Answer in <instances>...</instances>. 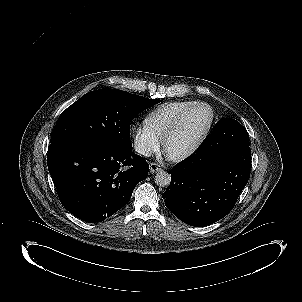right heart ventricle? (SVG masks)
Here are the masks:
<instances>
[{
    "mask_svg": "<svg viewBox=\"0 0 302 302\" xmlns=\"http://www.w3.org/2000/svg\"><path fill=\"white\" fill-rule=\"evenodd\" d=\"M190 106L189 102H173L163 105L148 117L146 121L148 130L158 138L165 137L178 116Z\"/></svg>",
    "mask_w": 302,
    "mask_h": 302,
    "instance_id": "e07e8e85",
    "label": "right heart ventricle"
}]
</instances>
